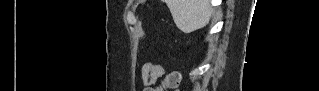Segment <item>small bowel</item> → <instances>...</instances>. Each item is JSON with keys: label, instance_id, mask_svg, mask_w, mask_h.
I'll list each match as a JSON object with an SVG mask.
<instances>
[{"label": "small bowel", "instance_id": "obj_1", "mask_svg": "<svg viewBox=\"0 0 319 91\" xmlns=\"http://www.w3.org/2000/svg\"><path fill=\"white\" fill-rule=\"evenodd\" d=\"M164 74V69L161 66L154 65L152 63H146L142 70V79L146 84H151ZM169 79L170 86H176L179 82V76L177 73H172Z\"/></svg>", "mask_w": 319, "mask_h": 91}]
</instances>
